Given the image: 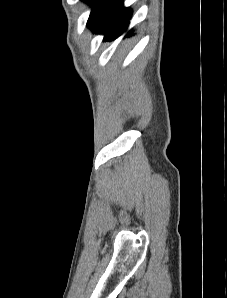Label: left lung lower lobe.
<instances>
[{
    "label": "left lung lower lobe",
    "mask_w": 227,
    "mask_h": 298,
    "mask_svg": "<svg viewBox=\"0 0 227 298\" xmlns=\"http://www.w3.org/2000/svg\"><path fill=\"white\" fill-rule=\"evenodd\" d=\"M131 15L132 10L123 7V0H108L104 13L92 30L104 34V40L115 39L127 30Z\"/></svg>",
    "instance_id": "0a47b994"
}]
</instances>
